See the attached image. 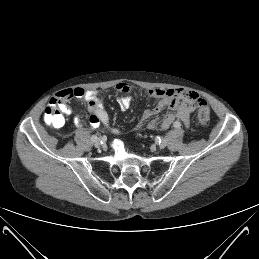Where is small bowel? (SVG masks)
Returning a JSON list of instances; mask_svg holds the SVG:
<instances>
[{"label":"small bowel","instance_id":"small-bowel-1","mask_svg":"<svg viewBox=\"0 0 259 259\" xmlns=\"http://www.w3.org/2000/svg\"><path fill=\"white\" fill-rule=\"evenodd\" d=\"M134 87L128 83H119L116 85L117 104L121 110H127L133 102L132 92ZM146 96L158 99L157 104L146 109L134 124V129L147 127L148 129L162 130L168 129L174 122H182L186 127L190 126V115L196 109V99L199 95L189 89H149L145 91ZM82 98L88 104L91 113L89 124L96 128L100 125L110 129L113 134H118L119 130L111 126L109 115L105 109L103 100L99 97V93L94 90H84L82 88L67 89L59 92L52 100L61 101L60 107L62 112L70 114L72 109L65 103L71 98ZM164 108H168L170 112L162 117L159 114ZM74 123L77 127H81L83 122L80 116L74 117Z\"/></svg>","mask_w":259,"mask_h":259}]
</instances>
